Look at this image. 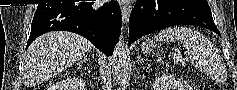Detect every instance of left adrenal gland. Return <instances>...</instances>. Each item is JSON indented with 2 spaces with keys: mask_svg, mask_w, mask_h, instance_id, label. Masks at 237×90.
<instances>
[{
  "mask_svg": "<svg viewBox=\"0 0 237 90\" xmlns=\"http://www.w3.org/2000/svg\"><path fill=\"white\" fill-rule=\"evenodd\" d=\"M137 62L138 64H142V62H145V58H141V56H138Z\"/></svg>",
  "mask_w": 237,
  "mask_h": 90,
  "instance_id": "left-adrenal-gland-1",
  "label": "left adrenal gland"
}]
</instances>
